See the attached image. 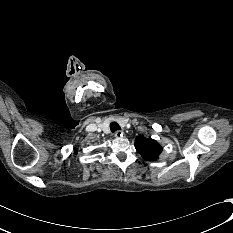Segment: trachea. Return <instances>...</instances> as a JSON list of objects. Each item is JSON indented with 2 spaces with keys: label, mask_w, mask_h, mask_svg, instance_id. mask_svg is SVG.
<instances>
[{
  "label": "trachea",
  "mask_w": 233,
  "mask_h": 233,
  "mask_svg": "<svg viewBox=\"0 0 233 233\" xmlns=\"http://www.w3.org/2000/svg\"><path fill=\"white\" fill-rule=\"evenodd\" d=\"M121 128H120V126L118 125V123H116V122H112L111 124H110V130H111V132H115V131H118V130H120Z\"/></svg>",
  "instance_id": "obj_1"
}]
</instances>
